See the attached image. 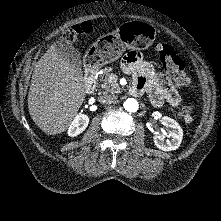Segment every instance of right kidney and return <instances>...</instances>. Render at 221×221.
<instances>
[{"mask_svg":"<svg viewBox=\"0 0 221 221\" xmlns=\"http://www.w3.org/2000/svg\"><path fill=\"white\" fill-rule=\"evenodd\" d=\"M89 124V118L87 115L79 114L77 115L68 128V135L70 137H75L82 133Z\"/></svg>","mask_w":221,"mask_h":221,"instance_id":"1","label":"right kidney"}]
</instances>
